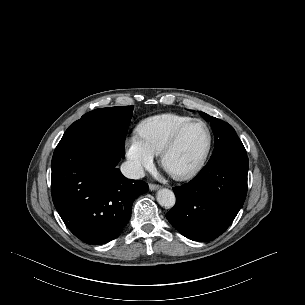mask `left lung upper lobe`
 Here are the masks:
<instances>
[{
  "label": "left lung upper lobe",
  "mask_w": 305,
  "mask_h": 305,
  "mask_svg": "<svg viewBox=\"0 0 305 305\" xmlns=\"http://www.w3.org/2000/svg\"><path fill=\"white\" fill-rule=\"evenodd\" d=\"M200 114L206 121L211 122L215 136L214 150L209 161L215 160L229 152H246L241 140L231 125L215 117H210L204 112H200Z\"/></svg>",
  "instance_id": "obj_1"
}]
</instances>
